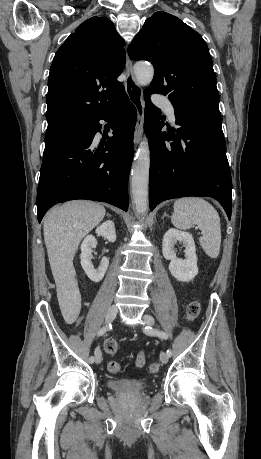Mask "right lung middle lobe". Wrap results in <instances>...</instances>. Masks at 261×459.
Instances as JSON below:
<instances>
[{"instance_id":"right-lung-middle-lobe-1","label":"right lung middle lobe","mask_w":261,"mask_h":459,"mask_svg":"<svg viewBox=\"0 0 261 459\" xmlns=\"http://www.w3.org/2000/svg\"><path fill=\"white\" fill-rule=\"evenodd\" d=\"M88 121L68 120L48 126L45 136L44 155L54 152L66 143L85 133Z\"/></svg>"}]
</instances>
